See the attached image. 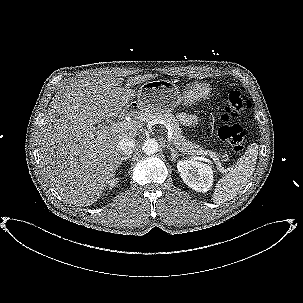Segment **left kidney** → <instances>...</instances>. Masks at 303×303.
<instances>
[{"mask_svg":"<svg viewBox=\"0 0 303 303\" xmlns=\"http://www.w3.org/2000/svg\"><path fill=\"white\" fill-rule=\"evenodd\" d=\"M177 169L184 183L197 192H207L213 183V171L206 164L181 160Z\"/></svg>","mask_w":303,"mask_h":303,"instance_id":"left-kidney-1","label":"left kidney"}]
</instances>
